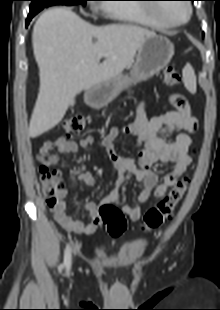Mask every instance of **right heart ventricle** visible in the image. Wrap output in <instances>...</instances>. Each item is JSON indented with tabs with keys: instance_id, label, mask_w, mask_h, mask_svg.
Masks as SVG:
<instances>
[{
	"instance_id": "e07e8e85",
	"label": "right heart ventricle",
	"mask_w": 220,
	"mask_h": 310,
	"mask_svg": "<svg viewBox=\"0 0 220 310\" xmlns=\"http://www.w3.org/2000/svg\"><path fill=\"white\" fill-rule=\"evenodd\" d=\"M107 11L116 19L130 24L141 25L154 29L169 28L161 21L155 19L148 8L142 6L109 5Z\"/></svg>"
}]
</instances>
